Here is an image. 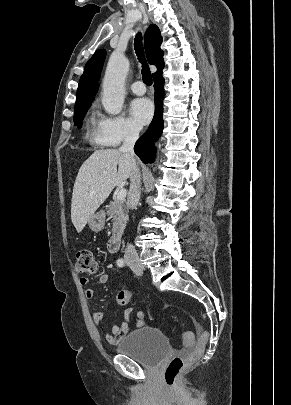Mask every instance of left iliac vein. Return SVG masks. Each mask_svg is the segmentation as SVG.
<instances>
[{"instance_id":"1","label":"left iliac vein","mask_w":291,"mask_h":405,"mask_svg":"<svg viewBox=\"0 0 291 405\" xmlns=\"http://www.w3.org/2000/svg\"><path fill=\"white\" fill-rule=\"evenodd\" d=\"M131 268L135 272V274H137V275H142L143 274V270L141 268H137V267H134V266H132Z\"/></svg>"}]
</instances>
